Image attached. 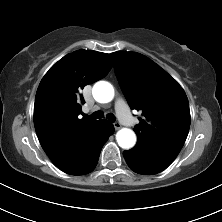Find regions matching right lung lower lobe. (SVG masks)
Segmentation results:
<instances>
[{"mask_svg": "<svg viewBox=\"0 0 222 222\" xmlns=\"http://www.w3.org/2000/svg\"><path fill=\"white\" fill-rule=\"evenodd\" d=\"M113 132V125L105 119L101 120V124L89 135L87 141L89 150L84 160L78 166L67 168L64 172L72 175H84L93 171L97 165L103 145Z\"/></svg>", "mask_w": 222, "mask_h": 222, "instance_id": "1", "label": "right lung lower lobe"}]
</instances>
